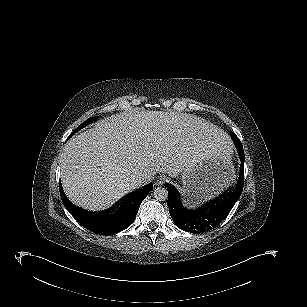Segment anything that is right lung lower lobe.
Wrapping results in <instances>:
<instances>
[{
  "label": "right lung lower lobe",
  "instance_id": "98d812e1",
  "mask_svg": "<svg viewBox=\"0 0 307 307\" xmlns=\"http://www.w3.org/2000/svg\"><path fill=\"white\" fill-rule=\"evenodd\" d=\"M153 189V184H148L143 189L130 193L122 203L121 207L114 214H111L112 207L100 211H87L73 205L66 197L60 183V195L70 214L86 229L100 235H111L128 228L140 207L141 202Z\"/></svg>",
  "mask_w": 307,
  "mask_h": 307
}]
</instances>
